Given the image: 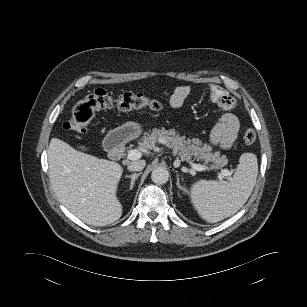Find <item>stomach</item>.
<instances>
[{
  "label": "stomach",
  "mask_w": 307,
  "mask_h": 307,
  "mask_svg": "<svg viewBox=\"0 0 307 307\" xmlns=\"http://www.w3.org/2000/svg\"><path fill=\"white\" fill-rule=\"evenodd\" d=\"M141 133V125L137 122L130 121L112 130L109 135L117 137L120 141H129L139 137Z\"/></svg>",
  "instance_id": "stomach-1"
}]
</instances>
